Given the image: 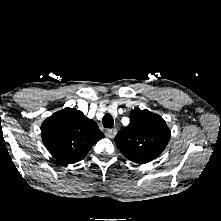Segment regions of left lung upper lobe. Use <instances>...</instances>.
<instances>
[{
	"instance_id": "5c2ea615",
	"label": "left lung upper lobe",
	"mask_w": 221,
	"mask_h": 221,
	"mask_svg": "<svg viewBox=\"0 0 221 221\" xmlns=\"http://www.w3.org/2000/svg\"><path fill=\"white\" fill-rule=\"evenodd\" d=\"M170 139V130L159 115L146 109L130 112V124L118 132L115 143L129 160L145 164L157 158Z\"/></svg>"
}]
</instances>
